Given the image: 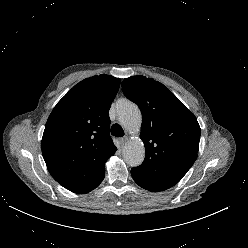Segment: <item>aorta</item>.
Wrapping results in <instances>:
<instances>
[{"label": "aorta", "mask_w": 248, "mask_h": 248, "mask_svg": "<svg viewBox=\"0 0 248 248\" xmlns=\"http://www.w3.org/2000/svg\"><path fill=\"white\" fill-rule=\"evenodd\" d=\"M120 124L130 133H138L141 128L142 115L136 104L124 101L118 108ZM126 163L132 167L139 166L145 158V148L141 139L129 140L123 148Z\"/></svg>", "instance_id": "obj_1"}]
</instances>
